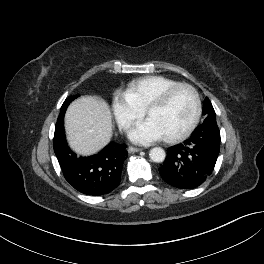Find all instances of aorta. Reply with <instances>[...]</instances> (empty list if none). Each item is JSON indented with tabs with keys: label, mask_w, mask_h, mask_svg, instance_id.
Segmentation results:
<instances>
[{
	"label": "aorta",
	"mask_w": 264,
	"mask_h": 264,
	"mask_svg": "<svg viewBox=\"0 0 264 264\" xmlns=\"http://www.w3.org/2000/svg\"><path fill=\"white\" fill-rule=\"evenodd\" d=\"M149 156L153 162L161 163L165 160L166 154L161 147H155L150 150Z\"/></svg>",
	"instance_id": "762f6f07"
}]
</instances>
